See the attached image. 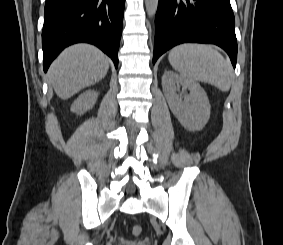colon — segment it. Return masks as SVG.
Returning <instances> with one entry per match:
<instances>
[{
	"mask_svg": "<svg viewBox=\"0 0 283 245\" xmlns=\"http://www.w3.org/2000/svg\"><path fill=\"white\" fill-rule=\"evenodd\" d=\"M142 233V226L141 225H134L132 228V234L134 236H139Z\"/></svg>",
	"mask_w": 283,
	"mask_h": 245,
	"instance_id": "5ec220e1",
	"label": "colon"
}]
</instances>
